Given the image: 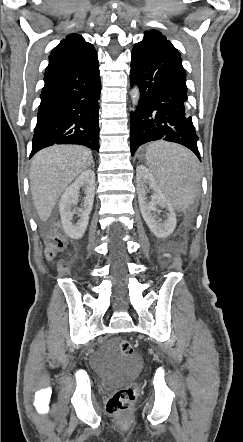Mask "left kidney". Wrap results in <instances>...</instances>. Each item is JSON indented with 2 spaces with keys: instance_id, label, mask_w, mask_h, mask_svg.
<instances>
[{
  "instance_id": "5707ae66",
  "label": "left kidney",
  "mask_w": 243,
  "mask_h": 442,
  "mask_svg": "<svg viewBox=\"0 0 243 442\" xmlns=\"http://www.w3.org/2000/svg\"><path fill=\"white\" fill-rule=\"evenodd\" d=\"M136 175L139 207L143 219L150 230L158 238H166L170 236L175 230L177 224L176 214L170 212L171 202L160 190L149 169L140 165L136 169ZM147 184L155 190V193L151 196V201H147L146 198ZM157 206L167 207L170 212L164 223H160L161 220L156 214Z\"/></svg>"
}]
</instances>
